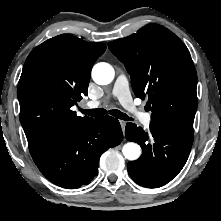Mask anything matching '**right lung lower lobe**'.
Masks as SVG:
<instances>
[{"mask_svg": "<svg viewBox=\"0 0 221 221\" xmlns=\"http://www.w3.org/2000/svg\"><path fill=\"white\" fill-rule=\"evenodd\" d=\"M122 139L117 119L91 118L56 136L32 158L52 183L74 189L87 185L97 176L100 156Z\"/></svg>", "mask_w": 221, "mask_h": 221, "instance_id": "right-lung-lower-lobe-1", "label": "right lung lower lobe"}]
</instances>
